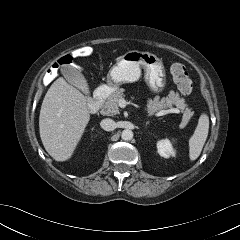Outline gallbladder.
Returning <instances> with one entry per match:
<instances>
[{"mask_svg": "<svg viewBox=\"0 0 240 240\" xmlns=\"http://www.w3.org/2000/svg\"><path fill=\"white\" fill-rule=\"evenodd\" d=\"M61 71L71 85L79 89L87 96L90 94L87 80L81 73L80 67L76 65H65L62 67Z\"/></svg>", "mask_w": 240, "mask_h": 240, "instance_id": "gallbladder-1", "label": "gallbladder"}]
</instances>
